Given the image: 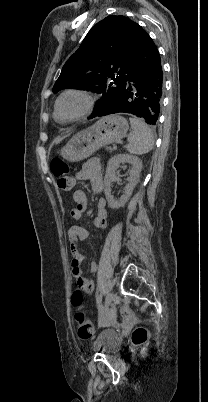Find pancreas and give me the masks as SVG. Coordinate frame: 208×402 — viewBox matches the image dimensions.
<instances>
[{"instance_id": "pancreas-1", "label": "pancreas", "mask_w": 208, "mask_h": 402, "mask_svg": "<svg viewBox=\"0 0 208 402\" xmlns=\"http://www.w3.org/2000/svg\"><path fill=\"white\" fill-rule=\"evenodd\" d=\"M106 150H109V152H112L113 148H106Z\"/></svg>"}]
</instances>
